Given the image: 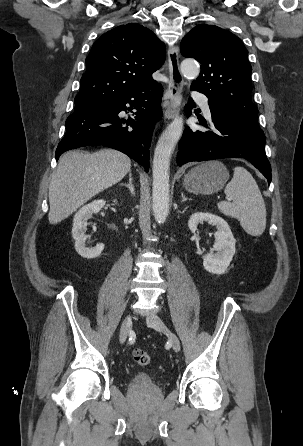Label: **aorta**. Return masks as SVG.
Masks as SVG:
<instances>
[{"instance_id":"aorta-1","label":"aorta","mask_w":303,"mask_h":446,"mask_svg":"<svg viewBox=\"0 0 303 446\" xmlns=\"http://www.w3.org/2000/svg\"><path fill=\"white\" fill-rule=\"evenodd\" d=\"M181 72L186 78L199 75V65L193 60L181 63ZM183 118L176 117L161 134L153 157L152 209L155 221L163 224L169 212V169L172 152L183 132Z\"/></svg>"}]
</instances>
